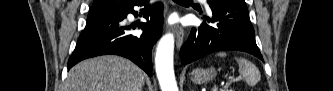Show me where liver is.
<instances>
[{"mask_svg":"<svg viewBox=\"0 0 333 91\" xmlns=\"http://www.w3.org/2000/svg\"><path fill=\"white\" fill-rule=\"evenodd\" d=\"M143 85V71L134 63L118 56H101L74 66L64 91H142Z\"/></svg>","mask_w":333,"mask_h":91,"instance_id":"liver-1","label":"liver"}]
</instances>
